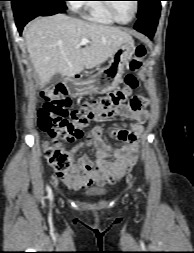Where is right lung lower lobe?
Listing matches in <instances>:
<instances>
[{
  "mask_svg": "<svg viewBox=\"0 0 194 253\" xmlns=\"http://www.w3.org/2000/svg\"><path fill=\"white\" fill-rule=\"evenodd\" d=\"M65 8L52 2L30 3L21 6L15 13V22L20 34L27 22L37 16H49L57 13H64Z\"/></svg>",
  "mask_w": 194,
  "mask_h": 253,
  "instance_id": "1",
  "label": "right lung lower lobe"
}]
</instances>
